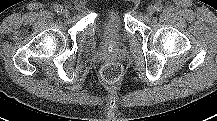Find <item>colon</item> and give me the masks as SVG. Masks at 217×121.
Returning a JSON list of instances; mask_svg holds the SVG:
<instances>
[{
    "label": "colon",
    "instance_id": "colon-1",
    "mask_svg": "<svg viewBox=\"0 0 217 121\" xmlns=\"http://www.w3.org/2000/svg\"><path fill=\"white\" fill-rule=\"evenodd\" d=\"M123 74V68L118 62H107L100 70V75L105 83L112 84L118 82Z\"/></svg>",
    "mask_w": 217,
    "mask_h": 121
}]
</instances>
